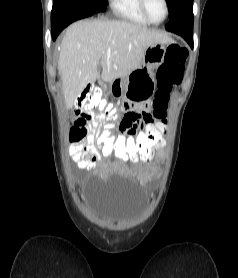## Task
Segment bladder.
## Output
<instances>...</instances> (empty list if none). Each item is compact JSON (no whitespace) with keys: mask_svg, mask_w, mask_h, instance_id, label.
I'll use <instances>...</instances> for the list:
<instances>
[{"mask_svg":"<svg viewBox=\"0 0 238 278\" xmlns=\"http://www.w3.org/2000/svg\"><path fill=\"white\" fill-rule=\"evenodd\" d=\"M131 180L136 176L131 175ZM101 180V175H94ZM85 199L96 219L108 226H128L144 213L148 199L139 181H87Z\"/></svg>","mask_w":238,"mask_h":278,"instance_id":"obj_1","label":"bladder"}]
</instances>
